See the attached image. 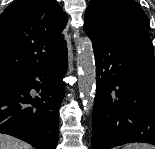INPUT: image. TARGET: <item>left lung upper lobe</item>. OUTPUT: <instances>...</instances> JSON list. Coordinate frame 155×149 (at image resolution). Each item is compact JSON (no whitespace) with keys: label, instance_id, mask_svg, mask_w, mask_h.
Returning <instances> with one entry per match:
<instances>
[{"label":"left lung upper lobe","instance_id":"obj_1","mask_svg":"<svg viewBox=\"0 0 155 149\" xmlns=\"http://www.w3.org/2000/svg\"><path fill=\"white\" fill-rule=\"evenodd\" d=\"M149 29L150 21L135 0H91L85 13L84 31L92 39L148 33Z\"/></svg>","mask_w":155,"mask_h":149}]
</instances>
